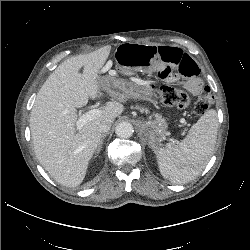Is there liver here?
I'll list each match as a JSON object with an SVG mask.
<instances>
[{
  "instance_id": "obj_1",
  "label": "liver",
  "mask_w": 250,
  "mask_h": 250,
  "mask_svg": "<svg viewBox=\"0 0 250 250\" xmlns=\"http://www.w3.org/2000/svg\"><path fill=\"white\" fill-rule=\"evenodd\" d=\"M111 47L78 55L61 63L39 90L30 116V130L36 157L59 184L79 186L101 140L99 125L124 111L121 104L107 103L101 114L76 131V108L89 98L101 97L100 71ZM83 67V73L79 71Z\"/></svg>"
}]
</instances>
